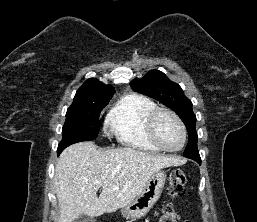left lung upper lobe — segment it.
Returning a JSON list of instances; mask_svg holds the SVG:
<instances>
[{"label":"left lung upper lobe","mask_w":257,"mask_h":222,"mask_svg":"<svg viewBox=\"0 0 257 222\" xmlns=\"http://www.w3.org/2000/svg\"><path fill=\"white\" fill-rule=\"evenodd\" d=\"M130 86L134 91L158 100L178 114L189 136L184 156L193 160L201 159L197 148L196 116L192 110V102L184 95L181 87L158 70H151L141 79L132 80Z\"/></svg>","instance_id":"left-lung-upper-lobe-1"}]
</instances>
